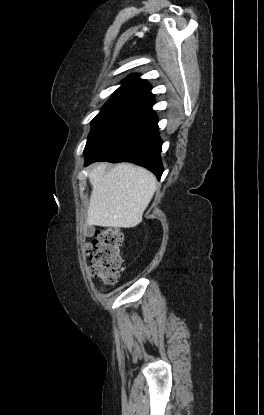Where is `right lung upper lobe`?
<instances>
[{
	"label": "right lung upper lobe",
	"instance_id": "cb5924a9",
	"mask_svg": "<svg viewBox=\"0 0 264 415\" xmlns=\"http://www.w3.org/2000/svg\"><path fill=\"white\" fill-rule=\"evenodd\" d=\"M112 96L134 98L142 100L143 102L154 98V95L151 93V85L139 79L137 74L127 77L121 87Z\"/></svg>",
	"mask_w": 264,
	"mask_h": 415
}]
</instances>
